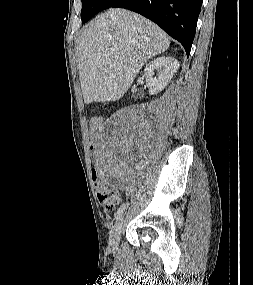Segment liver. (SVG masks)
<instances>
[{
    "instance_id": "liver-1",
    "label": "liver",
    "mask_w": 253,
    "mask_h": 285,
    "mask_svg": "<svg viewBox=\"0 0 253 285\" xmlns=\"http://www.w3.org/2000/svg\"><path fill=\"white\" fill-rule=\"evenodd\" d=\"M170 46L155 23L125 9H109L81 32L76 44L84 102L116 101L143 64Z\"/></svg>"
}]
</instances>
